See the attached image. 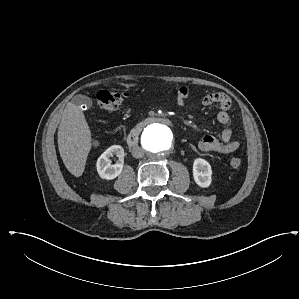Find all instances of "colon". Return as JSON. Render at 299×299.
Returning <instances> with one entry per match:
<instances>
[{"mask_svg": "<svg viewBox=\"0 0 299 299\" xmlns=\"http://www.w3.org/2000/svg\"><path fill=\"white\" fill-rule=\"evenodd\" d=\"M126 94L102 90L97 94V103L98 107L105 112H114L116 111L125 101ZM232 168L237 169L242 165L240 158H232L230 161Z\"/></svg>", "mask_w": 299, "mask_h": 299, "instance_id": "1", "label": "colon"}]
</instances>
